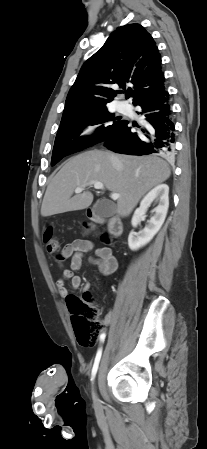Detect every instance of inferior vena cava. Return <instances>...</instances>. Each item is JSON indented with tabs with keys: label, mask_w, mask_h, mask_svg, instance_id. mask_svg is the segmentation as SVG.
Here are the masks:
<instances>
[{
	"label": "inferior vena cava",
	"mask_w": 207,
	"mask_h": 449,
	"mask_svg": "<svg viewBox=\"0 0 207 449\" xmlns=\"http://www.w3.org/2000/svg\"><path fill=\"white\" fill-rule=\"evenodd\" d=\"M110 159H111L113 162L117 161V158H116L114 155H110Z\"/></svg>",
	"instance_id": "602c4592"
}]
</instances>
